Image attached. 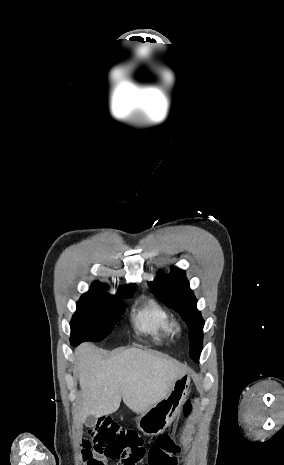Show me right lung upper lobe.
<instances>
[{
    "instance_id": "right-lung-upper-lobe-1",
    "label": "right lung upper lobe",
    "mask_w": 284,
    "mask_h": 465,
    "mask_svg": "<svg viewBox=\"0 0 284 465\" xmlns=\"http://www.w3.org/2000/svg\"><path fill=\"white\" fill-rule=\"evenodd\" d=\"M105 287L106 286L104 284L98 281H95L94 283H92V286H91V288H97L101 290H103ZM120 290L122 291H118L116 296L132 295L135 290V285L131 284V285L121 288Z\"/></svg>"
}]
</instances>
